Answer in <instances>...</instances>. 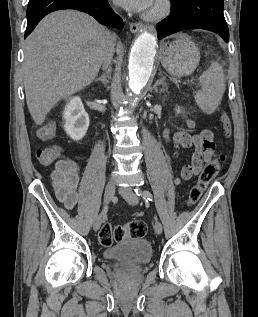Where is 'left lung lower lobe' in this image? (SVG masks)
<instances>
[{
  "label": "left lung lower lobe",
  "mask_w": 258,
  "mask_h": 317,
  "mask_svg": "<svg viewBox=\"0 0 258 317\" xmlns=\"http://www.w3.org/2000/svg\"><path fill=\"white\" fill-rule=\"evenodd\" d=\"M223 0H181L172 3V14L157 25L158 38L187 29H205L229 41Z\"/></svg>",
  "instance_id": "left-lung-lower-lobe-1"
}]
</instances>
